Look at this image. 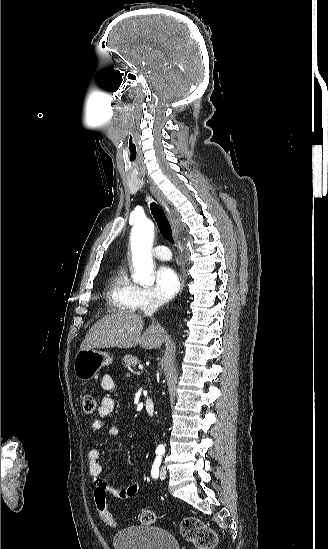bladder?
Segmentation results:
<instances>
[{"label":"bladder","mask_w":328,"mask_h":549,"mask_svg":"<svg viewBox=\"0 0 328 549\" xmlns=\"http://www.w3.org/2000/svg\"><path fill=\"white\" fill-rule=\"evenodd\" d=\"M113 543L116 549H177L170 532L151 526L125 528Z\"/></svg>","instance_id":"1"}]
</instances>
